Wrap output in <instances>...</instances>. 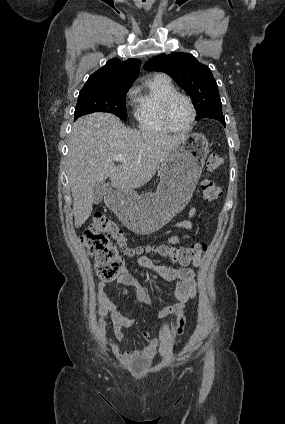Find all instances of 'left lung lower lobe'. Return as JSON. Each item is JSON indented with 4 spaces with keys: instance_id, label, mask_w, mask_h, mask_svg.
Here are the masks:
<instances>
[{
    "instance_id": "0a47b994",
    "label": "left lung lower lobe",
    "mask_w": 285,
    "mask_h": 424,
    "mask_svg": "<svg viewBox=\"0 0 285 424\" xmlns=\"http://www.w3.org/2000/svg\"><path fill=\"white\" fill-rule=\"evenodd\" d=\"M204 118H212L220 121L224 126H226L225 119L222 113V110H214L208 113Z\"/></svg>"
}]
</instances>
